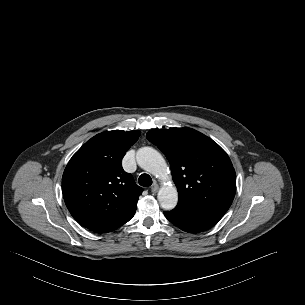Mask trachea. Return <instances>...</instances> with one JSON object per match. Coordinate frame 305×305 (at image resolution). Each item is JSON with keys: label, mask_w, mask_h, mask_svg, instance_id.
Segmentation results:
<instances>
[{"label": "trachea", "mask_w": 305, "mask_h": 305, "mask_svg": "<svg viewBox=\"0 0 305 305\" xmlns=\"http://www.w3.org/2000/svg\"><path fill=\"white\" fill-rule=\"evenodd\" d=\"M138 183L143 187H149L152 184V178L148 174H141L138 178Z\"/></svg>", "instance_id": "trachea-1"}]
</instances>
